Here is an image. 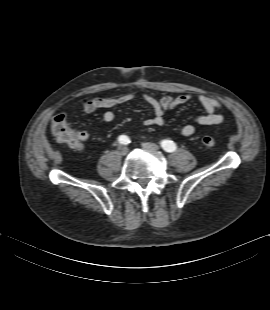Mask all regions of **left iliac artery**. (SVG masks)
<instances>
[{
    "mask_svg": "<svg viewBox=\"0 0 270 310\" xmlns=\"http://www.w3.org/2000/svg\"><path fill=\"white\" fill-rule=\"evenodd\" d=\"M161 147L167 152H173L176 150V144L171 140H163L161 142Z\"/></svg>",
    "mask_w": 270,
    "mask_h": 310,
    "instance_id": "obj_1",
    "label": "left iliac artery"
}]
</instances>
